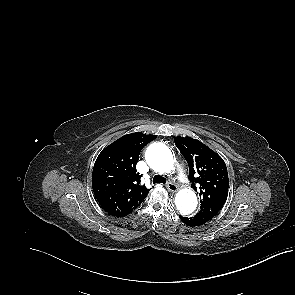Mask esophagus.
Instances as JSON below:
<instances>
[{"label":"esophagus","instance_id":"34e87169","mask_svg":"<svg viewBox=\"0 0 295 295\" xmlns=\"http://www.w3.org/2000/svg\"><path fill=\"white\" fill-rule=\"evenodd\" d=\"M166 187H167L168 191H170V192H176L178 190V186L173 182H168L166 184Z\"/></svg>","mask_w":295,"mask_h":295}]
</instances>
